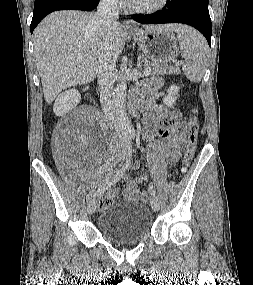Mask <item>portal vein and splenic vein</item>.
<instances>
[{
	"mask_svg": "<svg viewBox=\"0 0 253 285\" xmlns=\"http://www.w3.org/2000/svg\"><path fill=\"white\" fill-rule=\"evenodd\" d=\"M181 63V62H180ZM151 68H145L143 71V76H148L150 74Z\"/></svg>",
	"mask_w": 253,
	"mask_h": 285,
	"instance_id": "portal-vein-and-splenic-vein-1",
	"label": "portal vein and splenic vein"
}]
</instances>
